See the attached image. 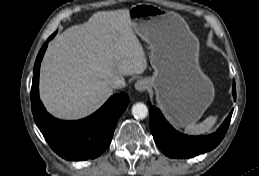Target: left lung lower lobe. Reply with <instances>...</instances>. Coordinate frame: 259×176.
<instances>
[{
	"mask_svg": "<svg viewBox=\"0 0 259 176\" xmlns=\"http://www.w3.org/2000/svg\"><path fill=\"white\" fill-rule=\"evenodd\" d=\"M236 99V86L232 88ZM150 129L155 143L160 150L171 158H190L214 149L224 138L229 127L233 110L216 133L209 136H188L176 131L164 118L161 111L149 106Z\"/></svg>",
	"mask_w": 259,
	"mask_h": 176,
	"instance_id": "left-lung-lower-lobe-1",
	"label": "left lung lower lobe"
}]
</instances>
